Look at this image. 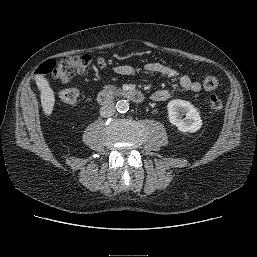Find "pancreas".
I'll return each mask as SVG.
<instances>
[{"mask_svg":"<svg viewBox=\"0 0 257 257\" xmlns=\"http://www.w3.org/2000/svg\"><path fill=\"white\" fill-rule=\"evenodd\" d=\"M105 90L108 91V92H115L116 90H118L116 87L112 86V85H108L105 87Z\"/></svg>","mask_w":257,"mask_h":257,"instance_id":"obj_1","label":"pancreas"}]
</instances>
